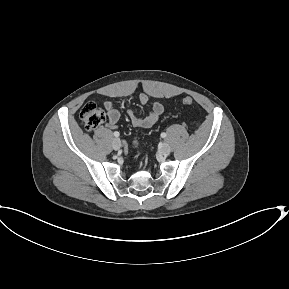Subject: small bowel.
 I'll return each mask as SVG.
<instances>
[{
	"label": "small bowel",
	"instance_id": "small-bowel-1",
	"mask_svg": "<svg viewBox=\"0 0 289 289\" xmlns=\"http://www.w3.org/2000/svg\"><path fill=\"white\" fill-rule=\"evenodd\" d=\"M139 102L142 105L149 104V98L145 94L139 96ZM104 107L107 110L108 114V124L110 127H115L120 119V113L116 109L115 104L111 101H106ZM165 107L160 102L150 103V112L145 117H140L136 115L133 111L129 110L128 115L131 120V123L136 128H150L152 127L163 114Z\"/></svg>",
	"mask_w": 289,
	"mask_h": 289
}]
</instances>
